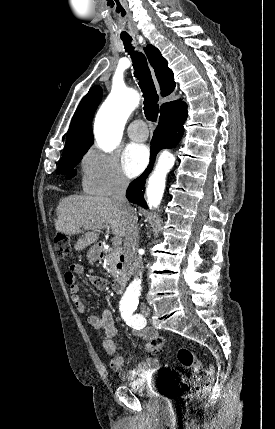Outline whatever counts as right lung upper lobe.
I'll return each mask as SVG.
<instances>
[{
    "label": "right lung upper lobe",
    "instance_id": "1",
    "mask_svg": "<svg viewBox=\"0 0 275 429\" xmlns=\"http://www.w3.org/2000/svg\"><path fill=\"white\" fill-rule=\"evenodd\" d=\"M145 50L149 62L155 70V75L161 87L162 96L171 94L175 88V81L174 74L172 70L168 68L167 61L153 45H147ZM101 98V87L93 86L81 100L67 132L63 156L83 152L86 153L93 144L92 119ZM180 102L182 101L177 100L162 104L160 108V118L172 112L175 106Z\"/></svg>",
    "mask_w": 275,
    "mask_h": 429
}]
</instances>
